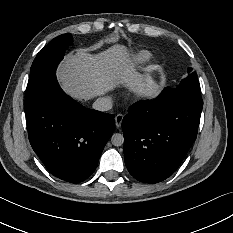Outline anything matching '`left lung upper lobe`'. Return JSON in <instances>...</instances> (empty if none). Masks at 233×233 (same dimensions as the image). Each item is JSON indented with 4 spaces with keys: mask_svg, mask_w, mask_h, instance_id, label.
<instances>
[{
    "mask_svg": "<svg viewBox=\"0 0 233 233\" xmlns=\"http://www.w3.org/2000/svg\"><path fill=\"white\" fill-rule=\"evenodd\" d=\"M191 72V68L188 69ZM165 92L170 94H182L200 97V87L197 79L196 72H192L186 79L182 80L177 86L164 89Z\"/></svg>",
    "mask_w": 233,
    "mask_h": 233,
    "instance_id": "5c2ea615",
    "label": "left lung upper lobe"
}]
</instances>
